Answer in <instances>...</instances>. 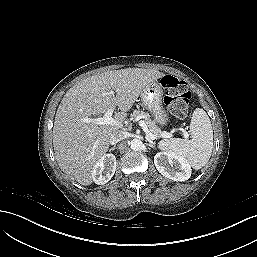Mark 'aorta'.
I'll use <instances>...</instances> for the list:
<instances>
[{"label":"aorta","mask_w":257,"mask_h":257,"mask_svg":"<svg viewBox=\"0 0 257 257\" xmlns=\"http://www.w3.org/2000/svg\"><path fill=\"white\" fill-rule=\"evenodd\" d=\"M129 146L134 151H139L143 148V142L140 139H133L130 141Z\"/></svg>","instance_id":"1"}]
</instances>
